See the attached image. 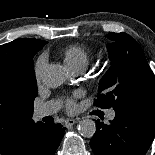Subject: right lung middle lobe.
Instances as JSON below:
<instances>
[{"instance_id": "1", "label": "right lung middle lobe", "mask_w": 155, "mask_h": 155, "mask_svg": "<svg viewBox=\"0 0 155 155\" xmlns=\"http://www.w3.org/2000/svg\"><path fill=\"white\" fill-rule=\"evenodd\" d=\"M34 55L18 57L0 71V144H13L32 121L38 94Z\"/></svg>"}]
</instances>
